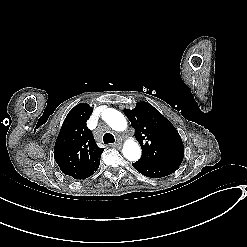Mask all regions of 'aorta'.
<instances>
[{
  "label": "aorta",
  "mask_w": 247,
  "mask_h": 247,
  "mask_svg": "<svg viewBox=\"0 0 247 247\" xmlns=\"http://www.w3.org/2000/svg\"><path fill=\"white\" fill-rule=\"evenodd\" d=\"M105 121L115 131H124L127 127L124 115L115 109L107 110ZM122 152L124 157L130 161H137L141 156L140 146L134 139H129L124 143Z\"/></svg>",
  "instance_id": "1"
}]
</instances>
